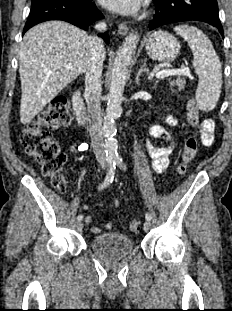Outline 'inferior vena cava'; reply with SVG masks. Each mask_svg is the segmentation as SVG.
<instances>
[{
  "mask_svg": "<svg viewBox=\"0 0 232 311\" xmlns=\"http://www.w3.org/2000/svg\"><path fill=\"white\" fill-rule=\"evenodd\" d=\"M98 31H105L107 24L102 21L96 24ZM86 47L89 53L85 71V97L89 115V133L92 147L98 163L106 165L105 147L102 132L101 115V77L104 61V45L101 38L88 37Z\"/></svg>",
  "mask_w": 232,
  "mask_h": 311,
  "instance_id": "inferior-vena-cava-1",
  "label": "inferior vena cava"
}]
</instances>
